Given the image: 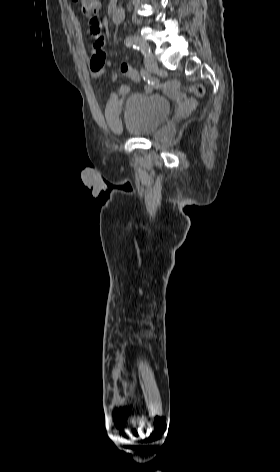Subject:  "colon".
I'll return each instance as SVG.
<instances>
[{
	"label": "colon",
	"mask_w": 280,
	"mask_h": 472,
	"mask_svg": "<svg viewBox=\"0 0 280 472\" xmlns=\"http://www.w3.org/2000/svg\"><path fill=\"white\" fill-rule=\"evenodd\" d=\"M75 3H78L83 15L92 22H96L97 14L99 9V4L97 0H72ZM120 71L123 75L127 76L130 80L134 82L142 81L141 75L133 69L130 65L123 63L120 66ZM147 85L154 88L162 89L168 94H173L179 90L182 86L177 81H166V82H157L151 79L146 81ZM187 89L193 93L196 97H202L204 95V87L200 84H193L187 87Z\"/></svg>",
	"instance_id": "5ec220e1"
}]
</instances>
